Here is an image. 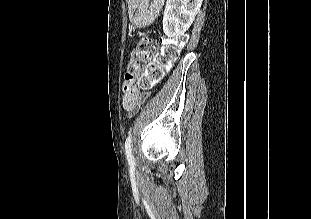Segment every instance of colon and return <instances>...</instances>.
I'll return each instance as SVG.
<instances>
[{
	"mask_svg": "<svg viewBox=\"0 0 311 219\" xmlns=\"http://www.w3.org/2000/svg\"><path fill=\"white\" fill-rule=\"evenodd\" d=\"M184 36L165 39L162 50L156 52V42L150 37L142 38L135 47L129 60L128 69L131 74L141 71L146 60L153 58L148 65L146 74L140 79L141 87L146 88L156 83L164 74L165 69L172 64L185 44Z\"/></svg>",
	"mask_w": 311,
	"mask_h": 219,
	"instance_id": "obj_1",
	"label": "colon"
}]
</instances>
